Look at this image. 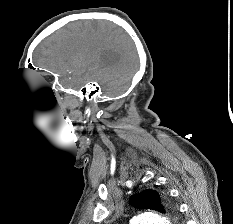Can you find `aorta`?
Returning <instances> with one entry per match:
<instances>
[{
  "label": "aorta",
  "instance_id": "obj_1",
  "mask_svg": "<svg viewBox=\"0 0 233 224\" xmlns=\"http://www.w3.org/2000/svg\"><path fill=\"white\" fill-rule=\"evenodd\" d=\"M131 224H170L169 221L157 214L145 212L131 220Z\"/></svg>",
  "mask_w": 233,
  "mask_h": 224
}]
</instances>
